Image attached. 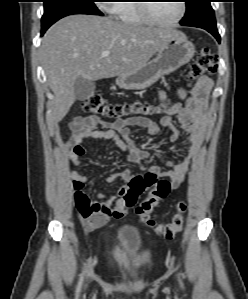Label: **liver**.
Here are the masks:
<instances>
[{"label": "liver", "instance_id": "6515ba94", "mask_svg": "<svg viewBox=\"0 0 248 299\" xmlns=\"http://www.w3.org/2000/svg\"><path fill=\"white\" fill-rule=\"evenodd\" d=\"M177 35L184 34L94 15H71L57 21L40 47L54 93L53 121L60 122L74 104L73 85L78 77L95 81L133 73ZM104 51L110 52L108 57H101Z\"/></svg>", "mask_w": 248, "mask_h": 299}]
</instances>
